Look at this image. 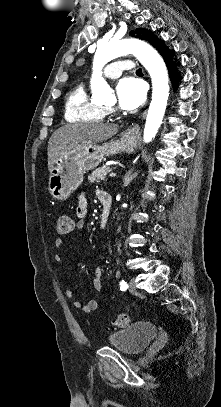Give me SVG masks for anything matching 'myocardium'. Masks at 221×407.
<instances>
[{"mask_svg": "<svg viewBox=\"0 0 221 407\" xmlns=\"http://www.w3.org/2000/svg\"><path fill=\"white\" fill-rule=\"evenodd\" d=\"M106 110L112 112L114 110V107L113 106L106 107Z\"/></svg>", "mask_w": 221, "mask_h": 407, "instance_id": "obj_1", "label": "myocardium"}]
</instances>
